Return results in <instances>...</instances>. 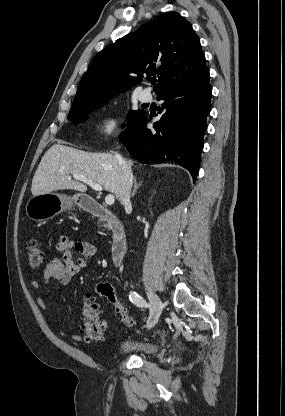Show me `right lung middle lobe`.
I'll return each mask as SVG.
<instances>
[{
    "label": "right lung middle lobe",
    "instance_id": "obj_1",
    "mask_svg": "<svg viewBox=\"0 0 285 416\" xmlns=\"http://www.w3.org/2000/svg\"><path fill=\"white\" fill-rule=\"evenodd\" d=\"M106 101L107 100L97 101L88 106L70 110L68 114V119L72 120V122H74L75 124L83 122L85 121V119L87 118L90 112L95 111L99 107L103 106L106 103ZM144 115H145L144 110L129 111V114H128L129 123L132 125L133 123L138 121L140 118H142Z\"/></svg>",
    "mask_w": 285,
    "mask_h": 416
}]
</instances>
